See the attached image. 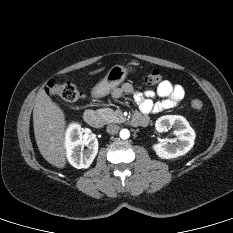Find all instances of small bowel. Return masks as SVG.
Segmentation results:
<instances>
[{
	"label": "small bowel",
	"instance_id": "c3829d8e",
	"mask_svg": "<svg viewBox=\"0 0 233 233\" xmlns=\"http://www.w3.org/2000/svg\"><path fill=\"white\" fill-rule=\"evenodd\" d=\"M122 94H132L138 104L140 112L134 115L133 123L139 125L137 120L142 119L145 121L143 123L145 125L149 121L150 114L179 105L185 96V91L181 85L165 80L157 86L155 91L147 90L145 92L136 91L130 83H124L119 89L114 90L113 96L120 97ZM155 97H159L160 100L154 101Z\"/></svg>",
	"mask_w": 233,
	"mask_h": 233
}]
</instances>
